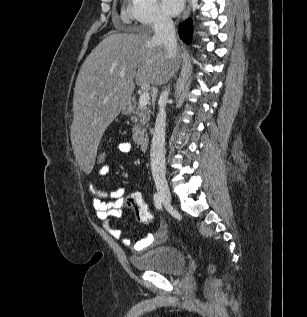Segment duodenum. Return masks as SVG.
Masks as SVG:
<instances>
[{
  "label": "duodenum",
  "instance_id": "duodenum-1",
  "mask_svg": "<svg viewBox=\"0 0 307 317\" xmlns=\"http://www.w3.org/2000/svg\"><path fill=\"white\" fill-rule=\"evenodd\" d=\"M148 145H149V139L147 137H142L140 139V146L142 149H147L148 148Z\"/></svg>",
  "mask_w": 307,
  "mask_h": 317
}]
</instances>
